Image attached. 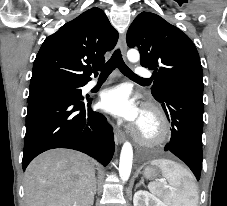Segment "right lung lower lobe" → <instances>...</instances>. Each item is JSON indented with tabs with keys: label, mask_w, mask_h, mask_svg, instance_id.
<instances>
[{
	"label": "right lung lower lobe",
	"mask_w": 227,
	"mask_h": 206,
	"mask_svg": "<svg viewBox=\"0 0 227 206\" xmlns=\"http://www.w3.org/2000/svg\"><path fill=\"white\" fill-rule=\"evenodd\" d=\"M91 103L88 98L58 97L28 102L22 168L40 153L61 147L86 153L106 166L114 153L113 131Z\"/></svg>",
	"instance_id": "98d812e1"
}]
</instances>
